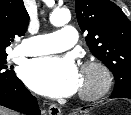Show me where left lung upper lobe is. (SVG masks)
Segmentation results:
<instances>
[{
	"mask_svg": "<svg viewBox=\"0 0 131 115\" xmlns=\"http://www.w3.org/2000/svg\"><path fill=\"white\" fill-rule=\"evenodd\" d=\"M78 24L91 53L113 73L110 97L131 99V23L110 0H75Z\"/></svg>",
	"mask_w": 131,
	"mask_h": 115,
	"instance_id": "5c2ea615",
	"label": "left lung upper lobe"
}]
</instances>
